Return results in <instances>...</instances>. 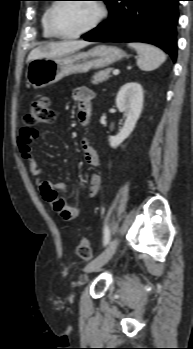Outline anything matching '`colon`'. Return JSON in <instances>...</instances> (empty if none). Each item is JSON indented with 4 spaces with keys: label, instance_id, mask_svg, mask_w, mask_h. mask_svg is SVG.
Segmentation results:
<instances>
[{
    "label": "colon",
    "instance_id": "1",
    "mask_svg": "<svg viewBox=\"0 0 193 349\" xmlns=\"http://www.w3.org/2000/svg\"><path fill=\"white\" fill-rule=\"evenodd\" d=\"M55 111L51 106V101L48 97L41 96L36 98L25 116L27 125L50 124L55 120ZM77 255L85 260L91 261L93 251L89 241L85 238L79 240L76 247Z\"/></svg>",
    "mask_w": 193,
    "mask_h": 349
}]
</instances>
